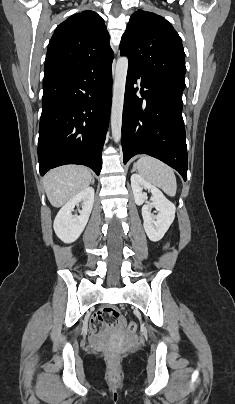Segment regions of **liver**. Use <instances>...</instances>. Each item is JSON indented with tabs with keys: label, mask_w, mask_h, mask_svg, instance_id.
<instances>
[{
	"label": "liver",
	"mask_w": 235,
	"mask_h": 404,
	"mask_svg": "<svg viewBox=\"0 0 235 404\" xmlns=\"http://www.w3.org/2000/svg\"><path fill=\"white\" fill-rule=\"evenodd\" d=\"M92 179L87 167L65 165L50 170L43 178V186L51 205L61 207L87 188Z\"/></svg>",
	"instance_id": "obj_1"
}]
</instances>
